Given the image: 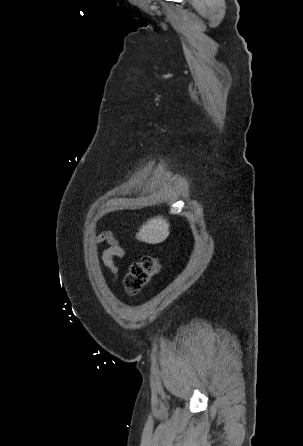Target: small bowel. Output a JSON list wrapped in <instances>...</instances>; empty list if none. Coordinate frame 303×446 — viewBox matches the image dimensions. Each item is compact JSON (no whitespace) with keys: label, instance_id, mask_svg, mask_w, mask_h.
<instances>
[{"label":"small bowel","instance_id":"small-bowel-1","mask_svg":"<svg viewBox=\"0 0 303 446\" xmlns=\"http://www.w3.org/2000/svg\"><path fill=\"white\" fill-rule=\"evenodd\" d=\"M107 243L108 247L102 253L103 264L111 271L114 277L118 275V267L115 264L116 258H123L125 250L119 241L110 232H101L95 236L93 244Z\"/></svg>","mask_w":303,"mask_h":446}]
</instances>
